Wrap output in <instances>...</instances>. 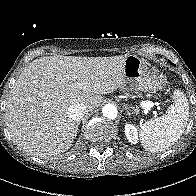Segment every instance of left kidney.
Instances as JSON below:
<instances>
[{"mask_svg":"<svg viewBox=\"0 0 196 196\" xmlns=\"http://www.w3.org/2000/svg\"><path fill=\"white\" fill-rule=\"evenodd\" d=\"M125 134L129 142H131L132 144H136L138 142V132L134 125L126 124Z\"/></svg>","mask_w":196,"mask_h":196,"instance_id":"obj_1","label":"left kidney"}]
</instances>
